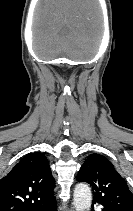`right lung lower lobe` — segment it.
<instances>
[{"instance_id": "right-lung-lower-lobe-1", "label": "right lung lower lobe", "mask_w": 133, "mask_h": 211, "mask_svg": "<svg viewBox=\"0 0 133 211\" xmlns=\"http://www.w3.org/2000/svg\"><path fill=\"white\" fill-rule=\"evenodd\" d=\"M38 211H57L56 199L41 207Z\"/></svg>"}]
</instances>
